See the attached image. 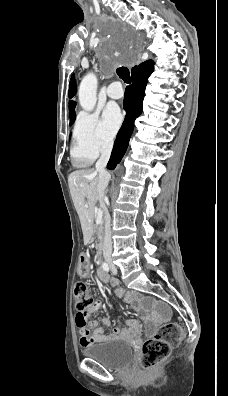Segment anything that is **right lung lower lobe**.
Segmentation results:
<instances>
[{"instance_id": "obj_1", "label": "right lung lower lobe", "mask_w": 228, "mask_h": 396, "mask_svg": "<svg viewBox=\"0 0 228 396\" xmlns=\"http://www.w3.org/2000/svg\"><path fill=\"white\" fill-rule=\"evenodd\" d=\"M153 70L154 62L148 60L131 71L132 85L126 89L123 102L126 116L107 164V168L110 170H113L117 166L127 150L129 139L134 129V121L142 112L145 87Z\"/></svg>"}]
</instances>
